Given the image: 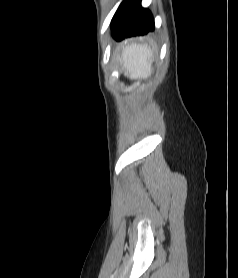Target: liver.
<instances>
[{
  "mask_svg": "<svg viewBox=\"0 0 238 278\" xmlns=\"http://www.w3.org/2000/svg\"><path fill=\"white\" fill-rule=\"evenodd\" d=\"M153 51L147 44L126 45L121 53V65L130 79H147L152 73Z\"/></svg>",
  "mask_w": 238,
  "mask_h": 278,
  "instance_id": "6515ba94",
  "label": "liver"
}]
</instances>
